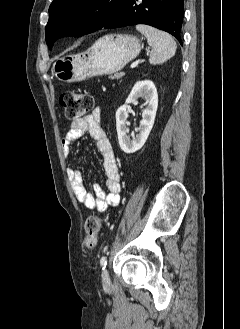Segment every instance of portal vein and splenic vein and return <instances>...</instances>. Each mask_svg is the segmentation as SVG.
<instances>
[{
    "mask_svg": "<svg viewBox=\"0 0 240 329\" xmlns=\"http://www.w3.org/2000/svg\"><path fill=\"white\" fill-rule=\"evenodd\" d=\"M140 61H141V59H138V60L134 61L133 63H131L130 68L131 69L135 68L140 63Z\"/></svg>",
    "mask_w": 240,
    "mask_h": 329,
    "instance_id": "obj_1",
    "label": "portal vein and splenic vein"
}]
</instances>
